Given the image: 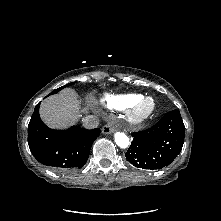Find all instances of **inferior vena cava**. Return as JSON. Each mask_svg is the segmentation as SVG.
<instances>
[{"label":"inferior vena cava","mask_w":221,"mask_h":221,"mask_svg":"<svg viewBox=\"0 0 221 221\" xmlns=\"http://www.w3.org/2000/svg\"><path fill=\"white\" fill-rule=\"evenodd\" d=\"M83 126L87 129H93L98 127L99 125V118L95 115H89L85 117L83 120Z\"/></svg>","instance_id":"inferior-vena-cava-1"}]
</instances>
